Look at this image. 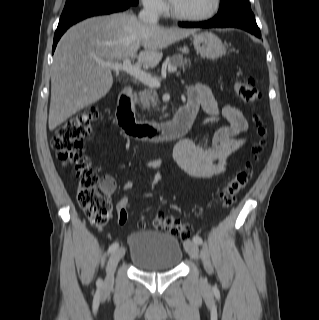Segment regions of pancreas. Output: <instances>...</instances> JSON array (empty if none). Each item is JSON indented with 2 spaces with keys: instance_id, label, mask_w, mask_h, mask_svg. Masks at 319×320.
I'll list each match as a JSON object with an SVG mask.
<instances>
[{
  "instance_id": "1",
  "label": "pancreas",
  "mask_w": 319,
  "mask_h": 320,
  "mask_svg": "<svg viewBox=\"0 0 319 320\" xmlns=\"http://www.w3.org/2000/svg\"><path fill=\"white\" fill-rule=\"evenodd\" d=\"M191 61L184 58L181 54H175L170 58V65L174 67H182L185 69L190 66ZM140 103L143 109L149 110L150 107H156L158 103V95L154 89H145L140 96Z\"/></svg>"
}]
</instances>
